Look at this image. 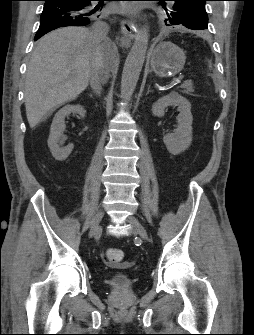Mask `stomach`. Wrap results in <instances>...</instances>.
Segmentation results:
<instances>
[{"label": "stomach", "mask_w": 254, "mask_h": 335, "mask_svg": "<svg viewBox=\"0 0 254 335\" xmlns=\"http://www.w3.org/2000/svg\"><path fill=\"white\" fill-rule=\"evenodd\" d=\"M185 61L184 51L172 42H160L150 53L151 69L162 78L178 74Z\"/></svg>", "instance_id": "0dacf381"}]
</instances>
